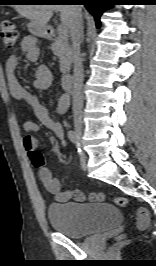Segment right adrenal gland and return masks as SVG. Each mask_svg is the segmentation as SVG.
I'll return each instance as SVG.
<instances>
[{"label":"right adrenal gland","instance_id":"obj_1","mask_svg":"<svg viewBox=\"0 0 156 266\" xmlns=\"http://www.w3.org/2000/svg\"><path fill=\"white\" fill-rule=\"evenodd\" d=\"M84 26L82 25V35H81V41H83V39H84Z\"/></svg>","mask_w":156,"mask_h":266}]
</instances>
